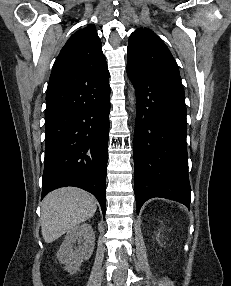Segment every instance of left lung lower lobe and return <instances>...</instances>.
Masks as SVG:
<instances>
[{
  "label": "left lung lower lobe",
  "instance_id": "left-lung-lower-lobe-1",
  "mask_svg": "<svg viewBox=\"0 0 231 286\" xmlns=\"http://www.w3.org/2000/svg\"><path fill=\"white\" fill-rule=\"evenodd\" d=\"M136 95L134 172L137 213L152 197L190 207L186 106L182 84L127 66Z\"/></svg>",
  "mask_w": 231,
  "mask_h": 286
}]
</instances>
